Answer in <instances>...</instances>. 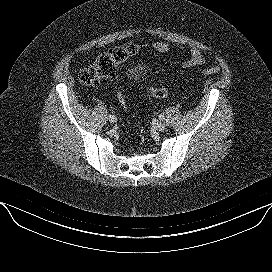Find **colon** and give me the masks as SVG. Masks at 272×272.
I'll list each match as a JSON object with an SVG mask.
<instances>
[{"instance_id": "5ec220e1", "label": "colon", "mask_w": 272, "mask_h": 272, "mask_svg": "<svg viewBox=\"0 0 272 272\" xmlns=\"http://www.w3.org/2000/svg\"><path fill=\"white\" fill-rule=\"evenodd\" d=\"M137 51V45L129 44L115 47L100 53L92 64L79 71L78 78L80 82L85 85H97L101 80L115 76L118 65L137 53ZM203 72L205 74H215L219 72V68L212 66L204 69ZM148 93L152 97L162 98L169 94V89L149 88ZM118 99L121 104H125L124 97L121 93H118Z\"/></svg>"}]
</instances>
